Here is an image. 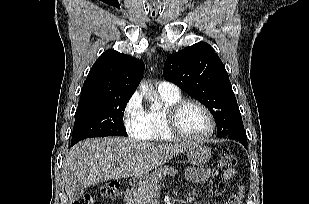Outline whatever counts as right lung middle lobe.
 I'll return each instance as SVG.
<instances>
[{
  "label": "right lung middle lobe",
  "mask_w": 309,
  "mask_h": 204,
  "mask_svg": "<svg viewBox=\"0 0 309 204\" xmlns=\"http://www.w3.org/2000/svg\"><path fill=\"white\" fill-rule=\"evenodd\" d=\"M130 97H107L79 103L71 144L90 137L127 136L123 114Z\"/></svg>",
  "instance_id": "right-lung-middle-lobe-1"
}]
</instances>
